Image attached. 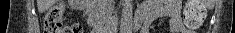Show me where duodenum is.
<instances>
[{"label":"duodenum","instance_id":"1","mask_svg":"<svg viewBox=\"0 0 235 33\" xmlns=\"http://www.w3.org/2000/svg\"><path fill=\"white\" fill-rule=\"evenodd\" d=\"M86 10L88 13V23L92 28V33H106L107 29L111 27V23H104L94 9L92 1H86ZM143 17L137 15L134 19V28H138L142 23Z\"/></svg>","mask_w":235,"mask_h":33}]
</instances>
